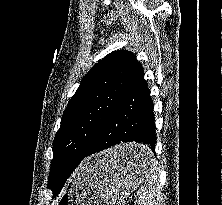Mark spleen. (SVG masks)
<instances>
[{
    "instance_id": "obj_1",
    "label": "spleen",
    "mask_w": 222,
    "mask_h": 205,
    "mask_svg": "<svg viewBox=\"0 0 222 205\" xmlns=\"http://www.w3.org/2000/svg\"><path fill=\"white\" fill-rule=\"evenodd\" d=\"M160 190L158 168L155 164H151L144 184L137 191V205H161Z\"/></svg>"
}]
</instances>
